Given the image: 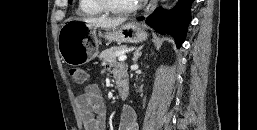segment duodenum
I'll use <instances>...</instances> for the list:
<instances>
[{
  "instance_id": "duodenum-1",
  "label": "duodenum",
  "mask_w": 257,
  "mask_h": 130,
  "mask_svg": "<svg viewBox=\"0 0 257 130\" xmlns=\"http://www.w3.org/2000/svg\"><path fill=\"white\" fill-rule=\"evenodd\" d=\"M117 88H118V93L121 97V99L125 100L129 96V86H128V81L124 79H119L117 81Z\"/></svg>"
}]
</instances>
